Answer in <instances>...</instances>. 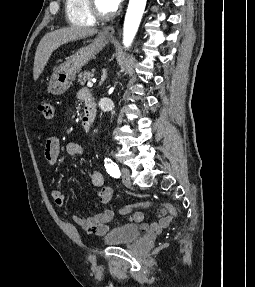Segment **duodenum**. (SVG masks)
Returning a JSON list of instances; mask_svg holds the SVG:
<instances>
[{"mask_svg":"<svg viewBox=\"0 0 255 287\" xmlns=\"http://www.w3.org/2000/svg\"><path fill=\"white\" fill-rule=\"evenodd\" d=\"M80 99L84 103V114L82 117L81 128L83 132H88L96 113L95 103L92 95L87 90L81 91Z\"/></svg>","mask_w":255,"mask_h":287,"instance_id":"1","label":"duodenum"}]
</instances>
